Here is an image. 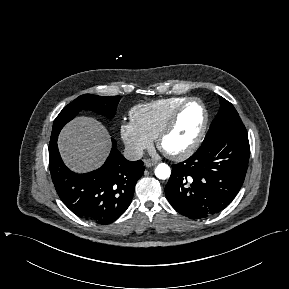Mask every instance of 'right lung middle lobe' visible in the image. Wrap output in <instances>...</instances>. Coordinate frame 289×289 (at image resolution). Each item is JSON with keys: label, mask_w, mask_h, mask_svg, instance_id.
<instances>
[{"label": "right lung middle lobe", "mask_w": 289, "mask_h": 289, "mask_svg": "<svg viewBox=\"0 0 289 289\" xmlns=\"http://www.w3.org/2000/svg\"><path fill=\"white\" fill-rule=\"evenodd\" d=\"M121 96L103 97L92 94H84L63 108L56 117L51 139L57 138L63 126L72 120L81 110H91L101 115L113 118Z\"/></svg>", "instance_id": "right-lung-middle-lobe-1"}]
</instances>
